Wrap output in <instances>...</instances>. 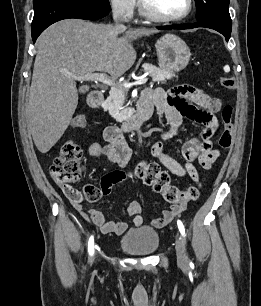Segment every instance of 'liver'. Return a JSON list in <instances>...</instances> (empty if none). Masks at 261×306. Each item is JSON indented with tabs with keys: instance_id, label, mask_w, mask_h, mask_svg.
Instances as JSON below:
<instances>
[{
	"instance_id": "6515ba94",
	"label": "liver",
	"mask_w": 261,
	"mask_h": 306,
	"mask_svg": "<svg viewBox=\"0 0 261 306\" xmlns=\"http://www.w3.org/2000/svg\"><path fill=\"white\" fill-rule=\"evenodd\" d=\"M158 32L148 28L119 31L113 25L81 19H65L48 27L36 43L28 102V128L37 149L47 153L70 124L78 104L71 75L101 71L120 77L136 60L131 42ZM88 91L87 85L79 89Z\"/></svg>"
}]
</instances>
